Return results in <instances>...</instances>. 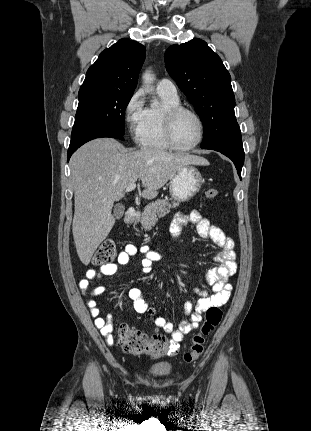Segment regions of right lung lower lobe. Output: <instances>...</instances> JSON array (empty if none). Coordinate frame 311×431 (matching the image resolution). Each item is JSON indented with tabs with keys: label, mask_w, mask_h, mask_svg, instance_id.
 I'll use <instances>...</instances> for the list:
<instances>
[{
	"label": "right lung lower lobe",
	"mask_w": 311,
	"mask_h": 431,
	"mask_svg": "<svg viewBox=\"0 0 311 431\" xmlns=\"http://www.w3.org/2000/svg\"><path fill=\"white\" fill-rule=\"evenodd\" d=\"M101 137H111L124 140L123 135L111 130L101 129V128H93L82 131L76 135L71 136L70 146L67 152L68 161L71 155L84 143Z\"/></svg>",
	"instance_id": "right-lung-lower-lobe-1"
}]
</instances>
